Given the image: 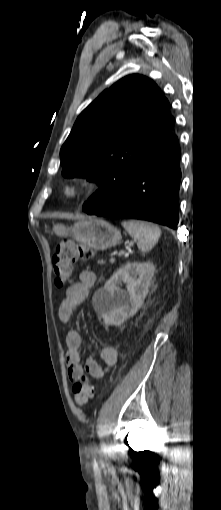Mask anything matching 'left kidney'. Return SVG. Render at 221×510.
Listing matches in <instances>:
<instances>
[{"label":"left kidney","mask_w":221,"mask_h":510,"mask_svg":"<svg viewBox=\"0 0 221 510\" xmlns=\"http://www.w3.org/2000/svg\"><path fill=\"white\" fill-rule=\"evenodd\" d=\"M155 266L151 262H131L119 268L93 296V307L105 326H119L133 317L149 292ZM126 290L118 287L121 282Z\"/></svg>","instance_id":"5707ae66"}]
</instances>
